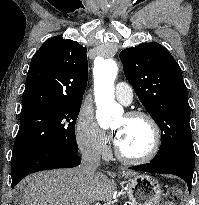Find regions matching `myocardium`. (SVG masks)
Masks as SVG:
<instances>
[{"instance_id": "1", "label": "myocardium", "mask_w": 199, "mask_h": 205, "mask_svg": "<svg viewBox=\"0 0 199 205\" xmlns=\"http://www.w3.org/2000/svg\"><path fill=\"white\" fill-rule=\"evenodd\" d=\"M125 117L130 119L133 118L144 119L150 126L152 132V143L149 150L144 155L134 157V156L126 155L121 150L118 143L115 142V154L117 158L128 164H143L151 161L158 154L162 142V132L158 122L151 114L142 110L129 111L125 114Z\"/></svg>"}]
</instances>
